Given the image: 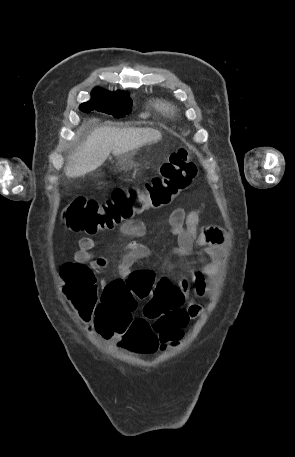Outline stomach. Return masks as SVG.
Here are the masks:
<instances>
[{
	"label": "stomach",
	"mask_w": 295,
	"mask_h": 457,
	"mask_svg": "<svg viewBox=\"0 0 295 457\" xmlns=\"http://www.w3.org/2000/svg\"><path fill=\"white\" fill-rule=\"evenodd\" d=\"M129 156H130V154L127 153V154L121 155L120 159L125 160V159L129 158Z\"/></svg>",
	"instance_id": "stomach-1"
}]
</instances>
